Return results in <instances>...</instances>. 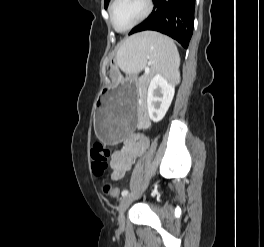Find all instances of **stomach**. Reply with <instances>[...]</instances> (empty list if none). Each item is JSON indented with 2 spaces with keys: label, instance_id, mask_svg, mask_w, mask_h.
<instances>
[{
  "label": "stomach",
  "instance_id": "0dacf381",
  "mask_svg": "<svg viewBox=\"0 0 264 247\" xmlns=\"http://www.w3.org/2000/svg\"><path fill=\"white\" fill-rule=\"evenodd\" d=\"M120 68V63L114 64ZM122 78V75H119ZM136 78L118 82L117 86H103L95 107V125L99 138L108 144L127 141L131 131H136L138 108H135Z\"/></svg>",
  "mask_w": 264,
  "mask_h": 247
}]
</instances>
